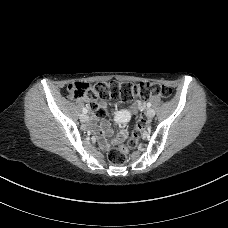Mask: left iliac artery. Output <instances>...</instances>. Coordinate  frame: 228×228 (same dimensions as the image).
I'll return each instance as SVG.
<instances>
[{
    "label": "left iliac artery",
    "mask_w": 228,
    "mask_h": 228,
    "mask_svg": "<svg viewBox=\"0 0 228 228\" xmlns=\"http://www.w3.org/2000/svg\"><path fill=\"white\" fill-rule=\"evenodd\" d=\"M147 107H148V108L151 107V103H150V102L147 103Z\"/></svg>",
    "instance_id": "1"
}]
</instances>
